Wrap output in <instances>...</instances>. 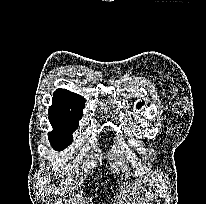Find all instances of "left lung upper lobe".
Masks as SVG:
<instances>
[{"mask_svg": "<svg viewBox=\"0 0 206 204\" xmlns=\"http://www.w3.org/2000/svg\"><path fill=\"white\" fill-rule=\"evenodd\" d=\"M142 105H144L143 101L137 104V108L140 109Z\"/></svg>", "mask_w": 206, "mask_h": 204, "instance_id": "left-lung-upper-lobe-1", "label": "left lung upper lobe"}]
</instances>
